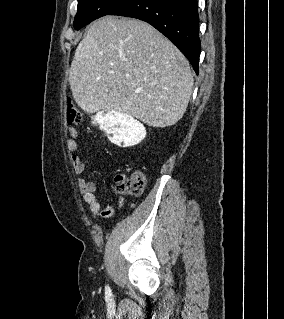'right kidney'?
Segmentation results:
<instances>
[{
	"label": "right kidney",
	"instance_id": "1",
	"mask_svg": "<svg viewBox=\"0 0 284 319\" xmlns=\"http://www.w3.org/2000/svg\"><path fill=\"white\" fill-rule=\"evenodd\" d=\"M99 123L108 139L117 146L130 147L139 144L146 137V129L138 120L125 113L99 112L92 118Z\"/></svg>",
	"mask_w": 284,
	"mask_h": 319
}]
</instances>
